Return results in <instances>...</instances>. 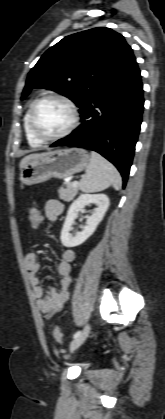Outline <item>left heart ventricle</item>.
<instances>
[{"label": "left heart ventricle", "instance_id": "1", "mask_svg": "<svg viewBox=\"0 0 165 419\" xmlns=\"http://www.w3.org/2000/svg\"><path fill=\"white\" fill-rule=\"evenodd\" d=\"M71 114L61 102L47 100L39 105L35 114L38 131L44 136H54L61 133L69 125Z\"/></svg>", "mask_w": 165, "mask_h": 419}]
</instances>
